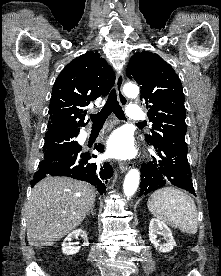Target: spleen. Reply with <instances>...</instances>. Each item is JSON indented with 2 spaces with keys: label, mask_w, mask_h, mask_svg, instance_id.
<instances>
[{
  "label": "spleen",
  "mask_w": 221,
  "mask_h": 276,
  "mask_svg": "<svg viewBox=\"0 0 221 276\" xmlns=\"http://www.w3.org/2000/svg\"><path fill=\"white\" fill-rule=\"evenodd\" d=\"M147 206L151 214L171 227L188 234L198 230V213L194 200L183 191L165 187L149 197Z\"/></svg>",
  "instance_id": "3e777b00"
}]
</instances>
